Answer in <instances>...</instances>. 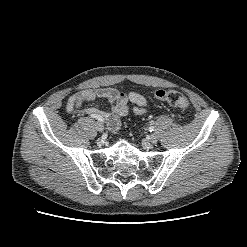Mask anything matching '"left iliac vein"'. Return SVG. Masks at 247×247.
Segmentation results:
<instances>
[{"label":"left iliac vein","instance_id":"obj_1","mask_svg":"<svg viewBox=\"0 0 247 247\" xmlns=\"http://www.w3.org/2000/svg\"><path fill=\"white\" fill-rule=\"evenodd\" d=\"M158 138L156 135L152 134L150 137H149V141L152 143V144H155L157 142Z\"/></svg>","mask_w":247,"mask_h":247}]
</instances>
